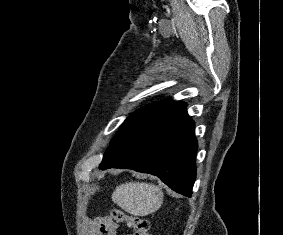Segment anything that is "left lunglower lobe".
<instances>
[{"instance_id": "obj_1", "label": "left lung lower lobe", "mask_w": 283, "mask_h": 235, "mask_svg": "<svg viewBox=\"0 0 283 235\" xmlns=\"http://www.w3.org/2000/svg\"><path fill=\"white\" fill-rule=\"evenodd\" d=\"M197 141L186 104L164 109L131 134L100 165L158 176L177 193L191 197L196 178Z\"/></svg>"}]
</instances>
